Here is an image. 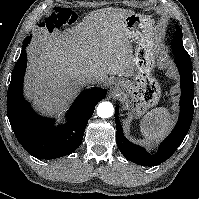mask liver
<instances>
[{
    "label": "liver",
    "instance_id": "liver-1",
    "mask_svg": "<svg viewBox=\"0 0 199 199\" xmlns=\"http://www.w3.org/2000/svg\"><path fill=\"white\" fill-rule=\"evenodd\" d=\"M134 12L103 8L90 12L64 32L41 38L29 56L27 93L44 113L67 107L91 75L104 84L108 75L134 74L133 49L124 21Z\"/></svg>",
    "mask_w": 199,
    "mask_h": 199
}]
</instances>
